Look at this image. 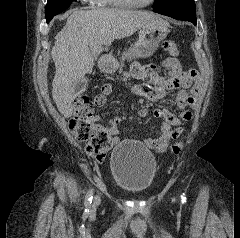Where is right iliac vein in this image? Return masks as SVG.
Here are the masks:
<instances>
[{
	"label": "right iliac vein",
	"mask_w": 240,
	"mask_h": 238,
	"mask_svg": "<svg viewBox=\"0 0 240 238\" xmlns=\"http://www.w3.org/2000/svg\"><path fill=\"white\" fill-rule=\"evenodd\" d=\"M99 204H100V197L95 196L93 203L91 205V212H94Z\"/></svg>",
	"instance_id": "obj_1"
}]
</instances>
